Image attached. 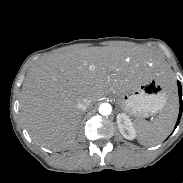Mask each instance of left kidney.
I'll list each match as a JSON object with an SVG mask.
<instances>
[{"label":"left kidney","instance_id":"5707ae66","mask_svg":"<svg viewBox=\"0 0 183 183\" xmlns=\"http://www.w3.org/2000/svg\"><path fill=\"white\" fill-rule=\"evenodd\" d=\"M116 119L122 136L128 140H133L136 137V131L131 119L125 113H119Z\"/></svg>","mask_w":183,"mask_h":183}]
</instances>
